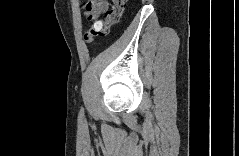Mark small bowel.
Segmentation results:
<instances>
[{
    "mask_svg": "<svg viewBox=\"0 0 239 156\" xmlns=\"http://www.w3.org/2000/svg\"><path fill=\"white\" fill-rule=\"evenodd\" d=\"M107 0H90L83 4L84 15L88 20L99 18L108 8Z\"/></svg>",
    "mask_w": 239,
    "mask_h": 156,
    "instance_id": "small-bowel-1",
    "label": "small bowel"
}]
</instances>
